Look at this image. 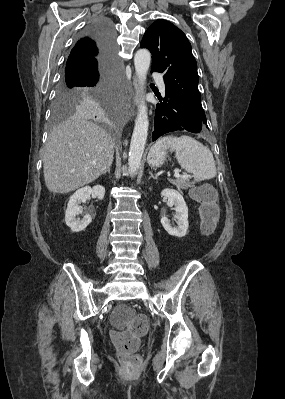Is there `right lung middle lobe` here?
I'll list each match as a JSON object with an SVG mask.
<instances>
[{
    "label": "right lung middle lobe",
    "instance_id": "1",
    "mask_svg": "<svg viewBox=\"0 0 285 399\" xmlns=\"http://www.w3.org/2000/svg\"><path fill=\"white\" fill-rule=\"evenodd\" d=\"M100 102L97 110L92 109L91 102ZM112 109V90L90 89L74 83L61 81L57 87L56 98L53 107V123L62 118L76 114L91 113L99 116H109Z\"/></svg>",
    "mask_w": 285,
    "mask_h": 399
}]
</instances>
